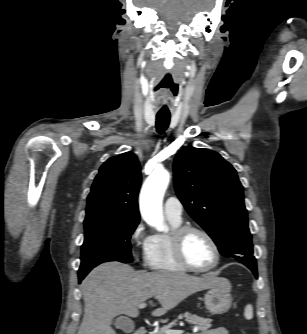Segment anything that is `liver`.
<instances>
[{"label":"liver","instance_id":"liver-1","mask_svg":"<svg viewBox=\"0 0 307 334\" xmlns=\"http://www.w3.org/2000/svg\"><path fill=\"white\" fill-rule=\"evenodd\" d=\"M217 285L215 273L196 277L178 272H136L127 264L103 263L82 282L85 308L77 334H116L111 327L114 317H137L139 304L152 297L161 304L152 315L161 316L191 294Z\"/></svg>","mask_w":307,"mask_h":334}]
</instances>
